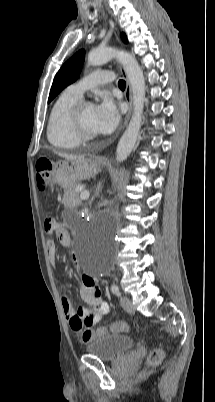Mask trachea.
<instances>
[{
    "mask_svg": "<svg viewBox=\"0 0 215 402\" xmlns=\"http://www.w3.org/2000/svg\"><path fill=\"white\" fill-rule=\"evenodd\" d=\"M118 86H119L120 88H125V87H126V82H125L124 80H119Z\"/></svg>",
    "mask_w": 215,
    "mask_h": 402,
    "instance_id": "trachea-1",
    "label": "trachea"
}]
</instances>
